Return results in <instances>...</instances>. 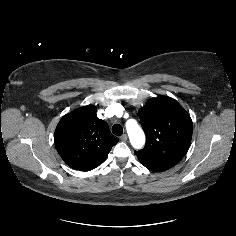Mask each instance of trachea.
<instances>
[{"mask_svg":"<svg viewBox=\"0 0 236 236\" xmlns=\"http://www.w3.org/2000/svg\"><path fill=\"white\" fill-rule=\"evenodd\" d=\"M112 132H113V134L116 135V136H121V135L123 134V128H122L121 125L115 124V125H113V127H112Z\"/></svg>","mask_w":236,"mask_h":236,"instance_id":"obj_1","label":"trachea"}]
</instances>
